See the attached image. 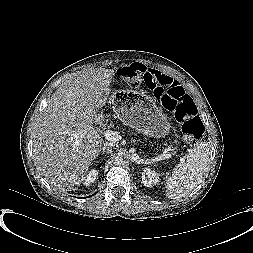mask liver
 Returning <instances> with one entry per match:
<instances>
[{
	"label": "liver",
	"instance_id": "1",
	"mask_svg": "<svg viewBox=\"0 0 253 253\" xmlns=\"http://www.w3.org/2000/svg\"><path fill=\"white\" fill-rule=\"evenodd\" d=\"M114 75V70L105 68L71 74L36 122L34 162L54 186L71 191L84 182L103 141L92 126L93 114L110 100Z\"/></svg>",
	"mask_w": 253,
	"mask_h": 253
}]
</instances>
